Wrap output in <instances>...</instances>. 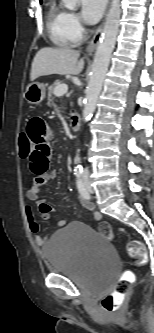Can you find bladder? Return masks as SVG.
Here are the masks:
<instances>
[{"instance_id":"31cf9c89","label":"bladder","mask_w":154,"mask_h":333,"mask_svg":"<svg viewBox=\"0 0 154 333\" xmlns=\"http://www.w3.org/2000/svg\"><path fill=\"white\" fill-rule=\"evenodd\" d=\"M41 250L50 270L101 290L110 286L118 267L111 243L80 221L55 231Z\"/></svg>"}]
</instances>
